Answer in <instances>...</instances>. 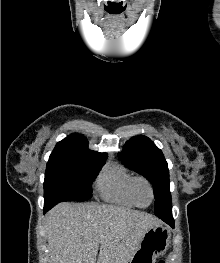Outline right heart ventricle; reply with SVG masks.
<instances>
[{
	"instance_id": "1",
	"label": "right heart ventricle",
	"mask_w": 220,
	"mask_h": 263,
	"mask_svg": "<svg viewBox=\"0 0 220 263\" xmlns=\"http://www.w3.org/2000/svg\"><path fill=\"white\" fill-rule=\"evenodd\" d=\"M135 176L119 164L107 165L99 175L96 188L103 199L123 206H137L131 194L132 182Z\"/></svg>"
}]
</instances>
